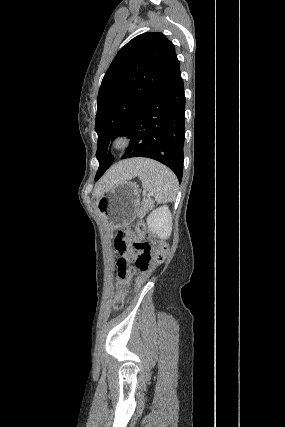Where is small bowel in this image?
I'll use <instances>...</instances> for the list:
<instances>
[{"label":"small bowel","instance_id":"small-bowel-1","mask_svg":"<svg viewBox=\"0 0 285 427\" xmlns=\"http://www.w3.org/2000/svg\"><path fill=\"white\" fill-rule=\"evenodd\" d=\"M125 258H127L126 255H123L121 259H125Z\"/></svg>","mask_w":285,"mask_h":427}]
</instances>
